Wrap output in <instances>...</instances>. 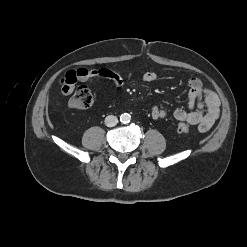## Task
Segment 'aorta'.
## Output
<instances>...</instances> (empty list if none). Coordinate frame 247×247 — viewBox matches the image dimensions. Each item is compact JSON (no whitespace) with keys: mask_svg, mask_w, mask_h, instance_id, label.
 <instances>
[{"mask_svg":"<svg viewBox=\"0 0 247 247\" xmlns=\"http://www.w3.org/2000/svg\"><path fill=\"white\" fill-rule=\"evenodd\" d=\"M130 119H131V116L128 113H123L120 116V121L122 123H129L130 122Z\"/></svg>","mask_w":247,"mask_h":247,"instance_id":"aorta-1","label":"aorta"}]
</instances>
